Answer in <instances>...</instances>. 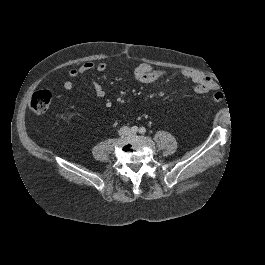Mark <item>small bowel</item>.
Instances as JSON below:
<instances>
[{
	"label": "small bowel",
	"instance_id": "1",
	"mask_svg": "<svg viewBox=\"0 0 265 265\" xmlns=\"http://www.w3.org/2000/svg\"><path fill=\"white\" fill-rule=\"evenodd\" d=\"M108 64L106 62H86L77 68H73L69 71V76L71 79H76L82 74L88 73L92 70L103 73L107 70ZM133 72L135 79L141 84H150L161 77L167 75L164 70L153 69L150 65L146 63H139L133 65ZM182 75L185 78L190 79L194 84V91L197 94H205L212 90L217 89V84L208 76L203 73L193 71V70H183ZM92 88L98 98H103L105 96V91L102 86L95 80H91ZM63 87L65 90L70 91L74 88V83L71 80L64 82Z\"/></svg>",
	"mask_w": 265,
	"mask_h": 265
}]
</instances>
